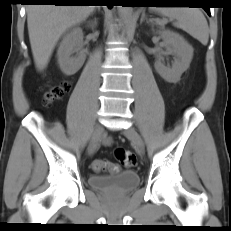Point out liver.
<instances>
[{"label": "liver", "instance_id": "1", "mask_svg": "<svg viewBox=\"0 0 231 231\" xmlns=\"http://www.w3.org/2000/svg\"><path fill=\"white\" fill-rule=\"evenodd\" d=\"M96 6L29 5L27 25L36 68L43 70L60 37L73 25L85 20Z\"/></svg>", "mask_w": 231, "mask_h": 231}]
</instances>
